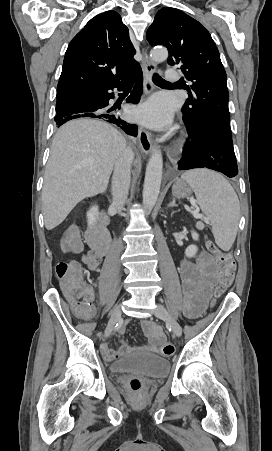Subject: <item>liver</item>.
<instances>
[{"label":"liver","mask_w":272,"mask_h":451,"mask_svg":"<svg viewBox=\"0 0 272 451\" xmlns=\"http://www.w3.org/2000/svg\"><path fill=\"white\" fill-rule=\"evenodd\" d=\"M126 140L101 120H71L59 128L44 174L42 210L45 227L59 226L78 202L107 190Z\"/></svg>","instance_id":"6515ba94"}]
</instances>
